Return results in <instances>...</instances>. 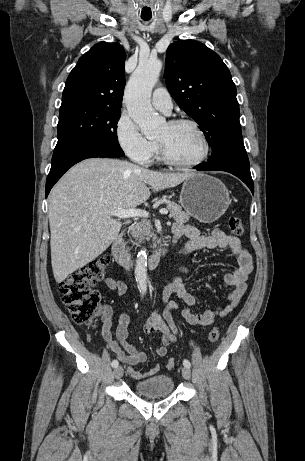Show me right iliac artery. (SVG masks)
<instances>
[{"mask_svg": "<svg viewBox=\"0 0 305 461\" xmlns=\"http://www.w3.org/2000/svg\"><path fill=\"white\" fill-rule=\"evenodd\" d=\"M118 364H119V363H118L117 360H113L112 363H111V365H112L113 368H116V367L118 366Z\"/></svg>", "mask_w": 305, "mask_h": 461, "instance_id": "1", "label": "right iliac artery"}]
</instances>
